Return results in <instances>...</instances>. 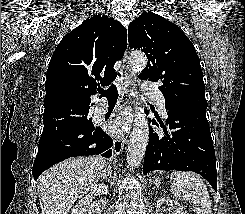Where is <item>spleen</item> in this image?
<instances>
[{"label":"spleen","mask_w":245,"mask_h":214,"mask_svg":"<svg viewBox=\"0 0 245 214\" xmlns=\"http://www.w3.org/2000/svg\"><path fill=\"white\" fill-rule=\"evenodd\" d=\"M170 178L171 192L177 199L191 201L196 214H212L207 187L198 175L187 171H174Z\"/></svg>","instance_id":"spleen-1"}]
</instances>
